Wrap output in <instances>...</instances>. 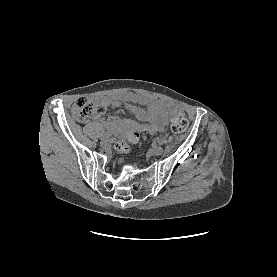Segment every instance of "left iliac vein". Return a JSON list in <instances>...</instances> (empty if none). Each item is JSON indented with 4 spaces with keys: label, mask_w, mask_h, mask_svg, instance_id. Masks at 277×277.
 Segmentation results:
<instances>
[{
    "label": "left iliac vein",
    "mask_w": 277,
    "mask_h": 277,
    "mask_svg": "<svg viewBox=\"0 0 277 277\" xmlns=\"http://www.w3.org/2000/svg\"><path fill=\"white\" fill-rule=\"evenodd\" d=\"M151 153L156 156L161 155L163 153V148L161 146L154 145L151 148Z\"/></svg>",
    "instance_id": "obj_1"
}]
</instances>
